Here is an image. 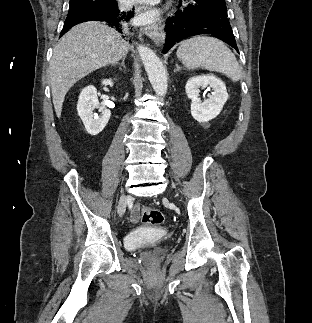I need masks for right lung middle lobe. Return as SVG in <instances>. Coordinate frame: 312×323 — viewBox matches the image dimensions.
I'll use <instances>...</instances> for the list:
<instances>
[{
    "label": "right lung middle lobe",
    "instance_id": "dd1d6c3e",
    "mask_svg": "<svg viewBox=\"0 0 312 323\" xmlns=\"http://www.w3.org/2000/svg\"><path fill=\"white\" fill-rule=\"evenodd\" d=\"M104 1H107V0H70L69 11L78 7H87Z\"/></svg>",
    "mask_w": 312,
    "mask_h": 323
}]
</instances>
